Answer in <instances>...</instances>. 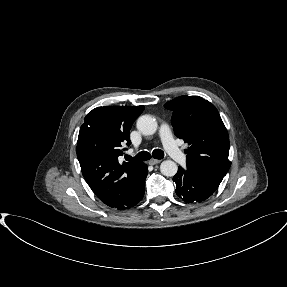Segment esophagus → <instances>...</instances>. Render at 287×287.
Segmentation results:
<instances>
[{
  "mask_svg": "<svg viewBox=\"0 0 287 287\" xmlns=\"http://www.w3.org/2000/svg\"><path fill=\"white\" fill-rule=\"evenodd\" d=\"M160 162H161V160L151 159V160L149 161V164H150V165H155V164H158V163H160Z\"/></svg>",
  "mask_w": 287,
  "mask_h": 287,
  "instance_id": "34e87169",
  "label": "esophagus"
}]
</instances>
